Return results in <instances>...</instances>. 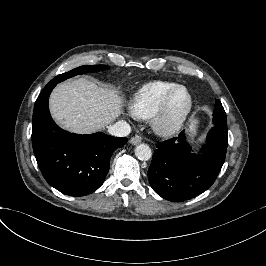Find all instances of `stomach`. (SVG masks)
<instances>
[{
    "instance_id": "obj_1",
    "label": "stomach",
    "mask_w": 266,
    "mask_h": 266,
    "mask_svg": "<svg viewBox=\"0 0 266 266\" xmlns=\"http://www.w3.org/2000/svg\"><path fill=\"white\" fill-rule=\"evenodd\" d=\"M198 127H199V119H197L195 116H192L189 119V130H188L191 139H193L194 136L197 134Z\"/></svg>"
}]
</instances>
